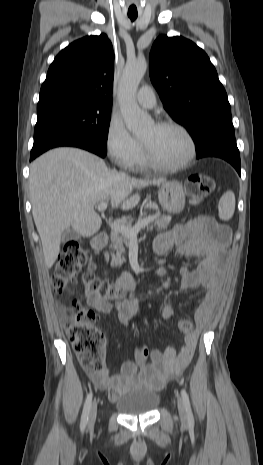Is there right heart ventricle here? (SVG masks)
<instances>
[{"label":"right heart ventricle","instance_id":"1","mask_svg":"<svg viewBox=\"0 0 263 465\" xmlns=\"http://www.w3.org/2000/svg\"><path fill=\"white\" fill-rule=\"evenodd\" d=\"M149 165L147 164L146 160H145V157H144V154H143V150H142V147H141V151H140V154L138 156V158L136 159V161L133 163L132 167L134 169H137V170H144L148 167Z\"/></svg>","mask_w":263,"mask_h":465}]
</instances>
